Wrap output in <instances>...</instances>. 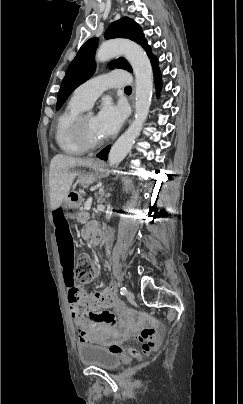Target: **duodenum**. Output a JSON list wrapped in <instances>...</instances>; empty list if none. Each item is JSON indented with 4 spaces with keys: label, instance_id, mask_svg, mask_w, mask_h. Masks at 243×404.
<instances>
[{
    "label": "duodenum",
    "instance_id": "410a0bca",
    "mask_svg": "<svg viewBox=\"0 0 243 404\" xmlns=\"http://www.w3.org/2000/svg\"><path fill=\"white\" fill-rule=\"evenodd\" d=\"M77 194L70 192L66 197V202L68 205H72L77 201ZM90 241L92 245H98L102 241V233L98 229H92L90 233Z\"/></svg>",
    "mask_w": 243,
    "mask_h": 404
}]
</instances>
